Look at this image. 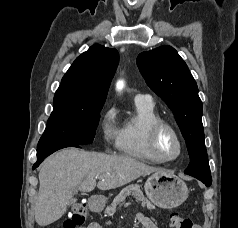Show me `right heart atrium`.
Masks as SVG:
<instances>
[{"mask_svg": "<svg viewBox=\"0 0 238 228\" xmlns=\"http://www.w3.org/2000/svg\"><path fill=\"white\" fill-rule=\"evenodd\" d=\"M117 113L114 108H109L101 120V131L106 145H117L119 128L116 124Z\"/></svg>", "mask_w": 238, "mask_h": 228, "instance_id": "d8ad5b80", "label": "right heart atrium"}]
</instances>
